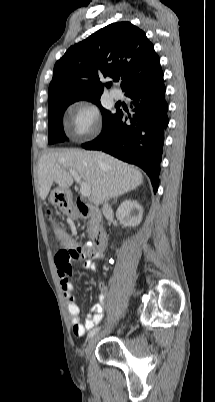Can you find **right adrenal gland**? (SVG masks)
<instances>
[{"instance_id":"1","label":"right adrenal gland","mask_w":215,"mask_h":402,"mask_svg":"<svg viewBox=\"0 0 215 402\" xmlns=\"http://www.w3.org/2000/svg\"><path fill=\"white\" fill-rule=\"evenodd\" d=\"M118 197H119V196H117V197L114 199V201H113L112 204H115V203L117 202Z\"/></svg>"}]
</instances>
